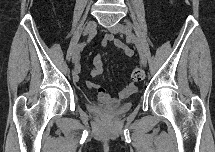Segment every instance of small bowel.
Returning <instances> with one entry per match:
<instances>
[{
  "mask_svg": "<svg viewBox=\"0 0 215 152\" xmlns=\"http://www.w3.org/2000/svg\"><path fill=\"white\" fill-rule=\"evenodd\" d=\"M106 42H113L114 45L119 50H121L123 53H125L129 57H131L133 55V51L123 42H121L120 40L115 38L112 34H108L106 36L104 44H106ZM92 64H93V68L90 71V75L92 77L100 76L103 72V65H102V60H101L100 55H96L93 58ZM73 80L74 81L79 80V67H76V69L74 70ZM87 86L90 89H93L96 91V100L98 102H107L109 100V95L106 93V91L100 84L94 83V82H88ZM136 89L137 88H136L135 84L133 82H130L121 90V92L119 94V98H121V99L126 98L127 96L134 93L136 91Z\"/></svg>",
  "mask_w": 215,
  "mask_h": 152,
  "instance_id": "obj_1",
  "label": "small bowel"
}]
</instances>
